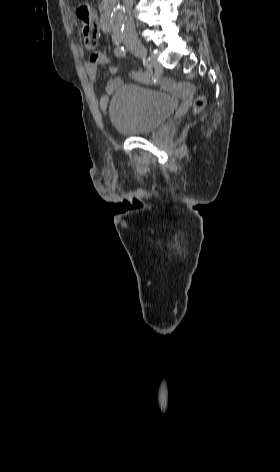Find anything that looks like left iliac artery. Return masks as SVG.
Returning <instances> with one entry per match:
<instances>
[{"mask_svg": "<svg viewBox=\"0 0 280 472\" xmlns=\"http://www.w3.org/2000/svg\"><path fill=\"white\" fill-rule=\"evenodd\" d=\"M122 33H123V27H121V26H114L113 27L112 38H113V41L116 45L121 42Z\"/></svg>", "mask_w": 280, "mask_h": 472, "instance_id": "1", "label": "left iliac artery"}]
</instances>
